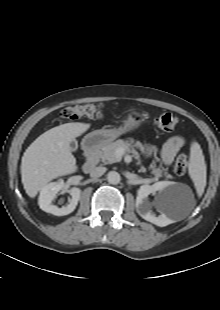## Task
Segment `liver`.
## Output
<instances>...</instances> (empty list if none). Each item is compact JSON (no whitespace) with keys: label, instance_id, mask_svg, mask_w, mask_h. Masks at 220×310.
<instances>
[{"label":"liver","instance_id":"6515ba94","mask_svg":"<svg viewBox=\"0 0 220 310\" xmlns=\"http://www.w3.org/2000/svg\"><path fill=\"white\" fill-rule=\"evenodd\" d=\"M90 128L89 123H66L41 134L24 152L21 180L27 195L34 198L51 180L76 172L70 142Z\"/></svg>","mask_w":220,"mask_h":310}]
</instances>
